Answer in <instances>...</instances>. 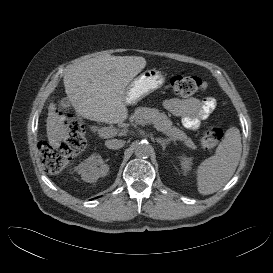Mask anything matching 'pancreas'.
<instances>
[{
  "mask_svg": "<svg viewBox=\"0 0 273 273\" xmlns=\"http://www.w3.org/2000/svg\"><path fill=\"white\" fill-rule=\"evenodd\" d=\"M139 120H144L153 124L158 131H161L169 136L171 140L182 141L189 149H196V145L192 139L188 137L186 133L173 126V122L167 117V115L160 112L158 109L149 107L136 108L130 117V121L138 123Z\"/></svg>",
  "mask_w": 273,
  "mask_h": 273,
  "instance_id": "1",
  "label": "pancreas"
}]
</instances>
